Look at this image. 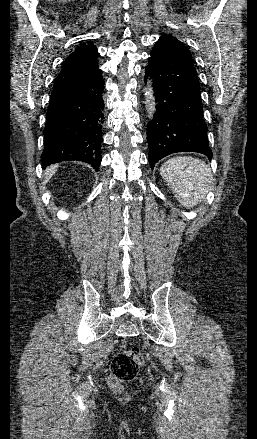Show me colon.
<instances>
[{
    "mask_svg": "<svg viewBox=\"0 0 257 439\" xmlns=\"http://www.w3.org/2000/svg\"><path fill=\"white\" fill-rule=\"evenodd\" d=\"M144 363L139 348L133 347L117 353L111 362V384L119 388L123 382L134 379Z\"/></svg>",
    "mask_w": 257,
    "mask_h": 439,
    "instance_id": "colon-1",
    "label": "colon"
}]
</instances>
